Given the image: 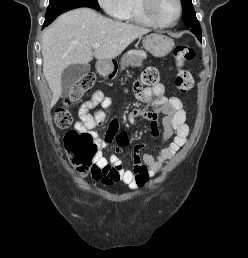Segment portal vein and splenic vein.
<instances>
[{
    "label": "portal vein and splenic vein",
    "instance_id": "portal-vein-and-splenic-vein-1",
    "mask_svg": "<svg viewBox=\"0 0 248 258\" xmlns=\"http://www.w3.org/2000/svg\"><path fill=\"white\" fill-rule=\"evenodd\" d=\"M100 45H101L100 43H95V44H93V48L98 49L100 47Z\"/></svg>",
    "mask_w": 248,
    "mask_h": 258
}]
</instances>
